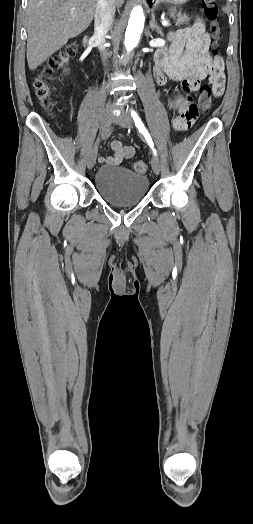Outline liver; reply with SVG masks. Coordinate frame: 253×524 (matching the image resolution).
I'll return each instance as SVG.
<instances>
[{"label":"liver","instance_id":"liver-1","mask_svg":"<svg viewBox=\"0 0 253 524\" xmlns=\"http://www.w3.org/2000/svg\"><path fill=\"white\" fill-rule=\"evenodd\" d=\"M124 0H115L121 7ZM97 0H29L27 61L35 70L70 38L84 32L95 15Z\"/></svg>","mask_w":253,"mask_h":524}]
</instances>
